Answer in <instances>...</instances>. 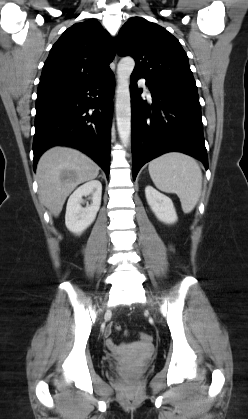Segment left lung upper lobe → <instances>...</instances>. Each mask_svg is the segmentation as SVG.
Masks as SVG:
<instances>
[{"instance_id": "5c2ea615", "label": "left lung upper lobe", "mask_w": 248, "mask_h": 419, "mask_svg": "<svg viewBox=\"0 0 248 419\" xmlns=\"http://www.w3.org/2000/svg\"><path fill=\"white\" fill-rule=\"evenodd\" d=\"M117 51L132 56L136 62L133 73L147 81L168 90L197 92L186 52L163 27L131 18L119 31Z\"/></svg>"}]
</instances>
